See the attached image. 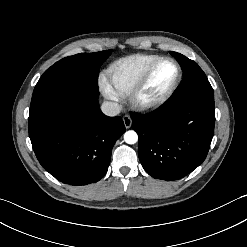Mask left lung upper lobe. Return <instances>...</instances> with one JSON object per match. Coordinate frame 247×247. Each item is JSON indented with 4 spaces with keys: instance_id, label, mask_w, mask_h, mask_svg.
<instances>
[{
    "instance_id": "obj_1",
    "label": "left lung upper lobe",
    "mask_w": 247,
    "mask_h": 247,
    "mask_svg": "<svg viewBox=\"0 0 247 247\" xmlns=\"http://www.w3.org/2000/svg\"><path fill=\"white\" fill-rule=\"evenodd\" d=\"M172 53L183 68L184 82L170 98L169 103H179L197 97H214L213 88L198 64L180 53Z\"/></svg>"
}]
</instances>
